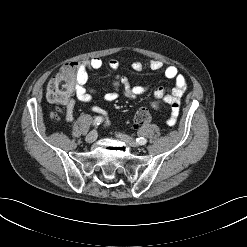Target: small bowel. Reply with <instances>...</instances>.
<instances>
[{
    "mask_svg": "<svg viewBox=\"0 0 247 247\" xmlns=\"http://www.w3.org/2000/svg\"><path fill=\"white\" fill-rule=\"evenodd\" d=\"M76 66L77 85L75 88V95L81 102L92 104L95 91L87 85L89 73L101 69L103 67V60L99 57H94L90 60L78 62L76 63ZM108 66L111 70H117L119 67V61L111 59ZM146 68L152 71L163 70V74L166 78L174 80V87L170 90L164 88L154 89L152 91L153 100L151 102V106L155 109H159L162 105L170 107L171 114L168 118V123L172 124L177 117L180 100L187 89L186 78L177 66L168 65L164 67L163 63L156 59H151L147 65L139 61L132 64V69L135 72H142ZM112 87L113 89L104 96V100L108 103L114 102L120 94L126 98L133 99L146 93L149 89L147 86H131L127 78L122 76H117L115 78ZM63 104L65 106V120L70 123L74 119L75 101L70 99ZM91 109L93 112L98 113L107 119L108 114L103 108L97 105H92Z\"/></svg>",
    "mask_w": 247,
    "mask_h": 247,
    "instance_id": "c3829d8e",
    "label": "small bowel"
}]
</instances>
